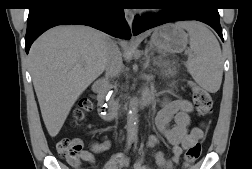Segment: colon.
<instances>
[{"instance_id": "1", "label": "colon", "mask_w": 252, "mask_h": 169, "mask_svg": "<svg viewBox=\"0 0 252 169\" xmlns=\"http://www.w3.org/2000/svg\"><path fill=\"white\" fill-rule=\"evenodd\" d=\"M193 103L199 116H207L211 113L213 107L212 97L209 92L192 84ZM91 108L89 98H84L80 101L79 106L74 111L75 120H81L85 112ZM82 142L79 139H60L56 144L58 154L65 159L69 164L78 166L80 163V152L82 150ZM201 155V144L195 143L189 146L183 157V166L189 168L192 166Z\"/></svg>"}]
</instances>
